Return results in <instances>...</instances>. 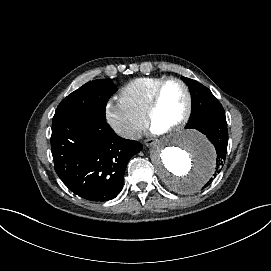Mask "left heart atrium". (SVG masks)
I'll return each instance as SVG.
<instances>
[{
	"mask_svg": "<svg viewBox=\"0 0 271 271\" xmlns=\"http://www.w3.org/2000/svg\"><path fill=\"white\" fill-rule=\"evenodd\" d=\"M152 131H153L154 133H156V134H160V133L164 132L163 130L159 129V128L156 127V126H153V127H152Z\"/></svg>",
	"mask_w": 271,
	"mask_h": 271,
	"instance_id": "obj_1",
	"label": "left heart atrium"
}]
</instances>
